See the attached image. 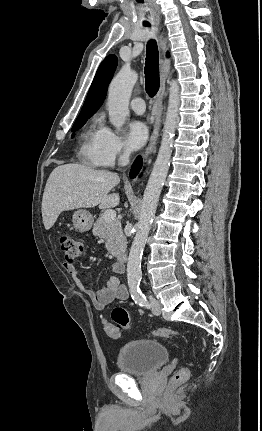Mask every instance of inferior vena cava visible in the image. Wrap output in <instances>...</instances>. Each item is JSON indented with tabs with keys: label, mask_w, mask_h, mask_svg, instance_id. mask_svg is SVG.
I'll list each match as a JSON object with an SVG mask.
<instances>
[{
	"label": "inferior vena cava",
	"mask_w": 262,
	"mask_h": 431,
	"mask_svg": "<svg viewBox=\"0 0 262 431\" xmlns=\"http://www.w3.org/2000/svg\"><path fill=\"white\" fill-rule=\"evenodd\" d=\"M129 163V152L124 151L122 155L119 157V164L121 166H125Z\"/></svg>",
	"instance_id": "1"
}]
</instances>
